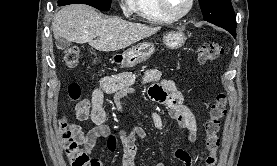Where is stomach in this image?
<instances>
[{
	"mask_svg": "<svg viewBox=\"0 0 277 166\" xmlns=\"http://www.w3.org/2000/svg\"><path fill=\"white\" fill-rule=\"evenodd\" d=\"M186 36L181 31L167 32L163 37V43L167 48L177 49L184 45ZM155 52L153 43L143 42L131 47L123 53L115 54L112 61L124 67H134L143 61H146Z\"/></svg>",
	"mask_w": 277,
	"mask_h": 166,
	"instance_id": "1",
	"label": "stomach"
}]
</instances>
